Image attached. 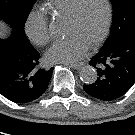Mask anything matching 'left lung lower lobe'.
<instances>
[{
  "instance_id": "obj_1",
  "label": "left lung lower lobe",
  "mask_w": 135,
  "mask_h": 135,
  "mask_svg": "<svg viewBox=\"0 0 135 135\" xmlns=\"http://www.w3.org/2000/svg\"><path fill=\"white\" fill-rule=\"evenodd\" d=\"M97 80L83 88L90 96L112 101L123 96L135 83V33L104 46L91 58Z\"/></svg>"
}]
</instances>
